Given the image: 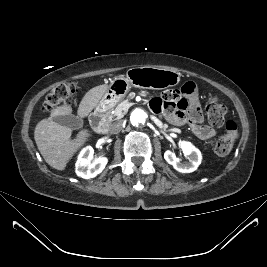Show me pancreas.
I'll return each instance as SVG.
<instances>
[{
    "label": "pancreas",
    "mask_w": 267,
    "mask_h": 267,
    "mask_svg": "<svg viewBox=\"0 0 267 267\" xmlns=\"http://www.w3.org/2000/svg\"><path fill=\"white\" fill-rule=\"evenodd\" d=\"M127 101L128 100L122 101L112 111L106 114L108 122H112L113 120L120 119L127 113V108L123 106V104Z\"/></svg>",
    "instance_id": "obj_1"
}]
</instances>
